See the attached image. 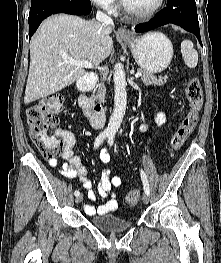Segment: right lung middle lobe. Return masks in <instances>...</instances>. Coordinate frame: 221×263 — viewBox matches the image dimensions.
Masks as SVG:
<instances>
[{
	"mask_svg": "<svg viewBox=\"0 0 221 263\" xmlns=\"http://www.w3.org/2000/svg\"><path fill=\"white\" fill-rule=\"evenodd\" d=\"M37 1H40V0H31V4L37 2Z\"/></svg>",
	"mask_w": 221,
	"mask_h": 263,
	"instance_id": "dd1d6c3e",
	"label": "right lung middle lobe"
}]
</instances>
